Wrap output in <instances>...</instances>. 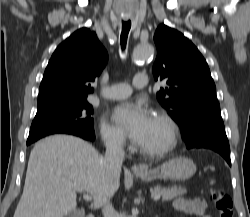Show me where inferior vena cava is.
<instances>
[{
	"instance_id": "1",
	"label": "inferior vena cava",
	"mask_w": 250,
	"mask_h": 217,
	"mask_svg": "<svg viewBox=\"0 0 250 217\" xmlns=\"http://www.w3.org/2000/svg\"><path fill=\"white\" fill-rule=\"evenodd\" d=\"M105 145L104 166L108 169L110 175L119 176L124 159L123 139L118 136H112L105 141ZM102 213L104 217H115V210L110 202V198L104 203Z\"/></svg>"
}]
</instances>
